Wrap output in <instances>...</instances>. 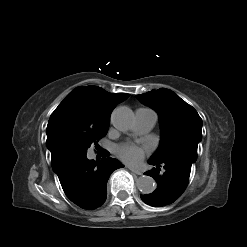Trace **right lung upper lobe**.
I'll use <instances>...</instances> for the list:
<instances>
[{"instance_id":"1","label":"right lung upper lobe","mask_w":247,"mask_h":247,"mask_svg":"<svg viewBox=\"0 0 247 247\" xmlns=\"http://www.w3.org/2000/svg\"><path fill=\"white\" fill-rule=\"evenodd\" d=\"M128 97L129 94L109 93L94 85L75 88L64 98L49 119L46 145L51 151V156L59 152L53 140V128L61 114L71 112L81 118L110 123L113 108Z\"/></svg>"}]
</instances>
